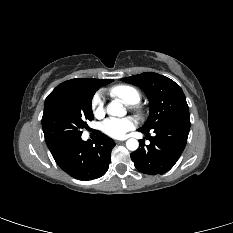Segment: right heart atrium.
<instances>
[{"label":"right heart atrium","instance_id":"obj_1","mask_svg":"<svg viewBox=\"0 0 233 233\" xmlns=\"http://www.w3.org/2000/svg\"><path fill=\"white\" fill-rule=\"evenodd\" d=\"M91 109L96 117H102L105 113V104L103 95L97 92L91 100Z\"/></svg>","mask_w":233,"mask_h":233}]
</instances>
